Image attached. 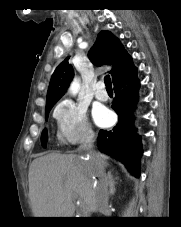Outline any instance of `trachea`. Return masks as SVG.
I'll list each match as a JSON object with an SVG mask.
<instances>
[{"label": "trachea", "instance_id": "1", "mask_svg": "<svg viewBox=\"0 0 181 227\" xmlns=\"http://www.w3.org/2000/svg\"><path fill=\"white\" fill-rule=\"evenodd\" d=\"M104 82H105L106 89H112L111 78L109 75H106L104 77Z\"/></svg>", "mask_w": 181, "mask_h": 227}]
</instances>
